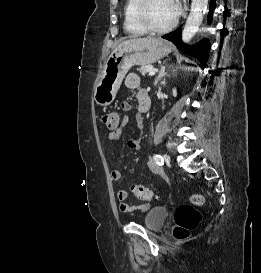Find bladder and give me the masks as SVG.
Listing matches in <instances>:
<instances>
[{"label": "bladder", "mask_w": 261, "mask_h": 273, "mask_svg": "<svg viewBox=\"0 0 261 273\" xmlns=\"http://www.w3.org/2000/svg\"><path fill=\"white\" fill-rule=\"evenodd\" d=\"M167 215L168 212L165 208L152 207L148 210L144 217V225L148 230H158L164 225Z\"/></svg>", "instance_id": "1"}]
</instances>
